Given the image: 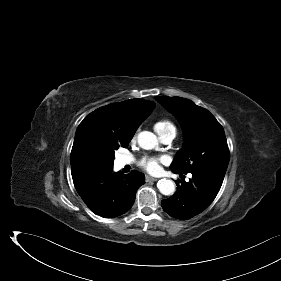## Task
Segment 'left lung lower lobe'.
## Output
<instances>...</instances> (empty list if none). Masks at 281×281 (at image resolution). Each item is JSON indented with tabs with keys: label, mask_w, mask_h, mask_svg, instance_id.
I'll use <instances>...</instances> for the list:
<instances>
[{
	"label": "left lung lower lobe",
	"mask_w": 281,
	"mask_h": 281,
	"mask_svg": "<svg viewBox=\"0 0 281 281\" xmlns=\"http://www.w3.org/2000/svg\"><path fill=\"white\" fill-rule=\"evenodd\" d=\"M174 173L187 174L172 170ZM189 182L176 181L177 191L169 199L162 201V207L170 216L177 219H190L205 210L217 196L225 172L220 170H204L192 172Z\"/></svg>",
	"instance_id": "1"
}]
</instances>
